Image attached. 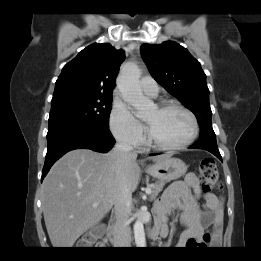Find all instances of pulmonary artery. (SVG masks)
Wrapping results in <instances>:
<instances>
[{
	"label": "pulmonary artery",
	"instance_id": "pulmonary-artery-1",
	"mask_svg": "<svg viewBox=\"0 0 261 261\" xmlns=\"http://www.w3.org/2000/svg\"><path fill=\"white\" fill-rule=\"evenodd\" d=\"M140 87L142 91L147 95H150L152 97L158 95V91H159L158 84L155 81V79L152 78L151 76H145L141 78Z\"/></svg>",
	"mask_w": 261,
	"mask_h": 261
}]
</instances>
